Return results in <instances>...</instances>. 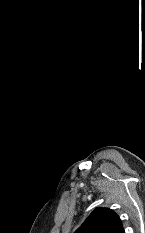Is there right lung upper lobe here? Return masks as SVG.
Masks as SVG:
<instances>
[{"instance_id": "obj_1", "label": "right lung upper lobe", "mask_w": 145, "mask_h": 233, "mask_svg": "<svg viewBox=\"0 0 145 233\" xmlns=\"http://www.w3.org/2000/svg\"><path fill=\"white\" fill-rule=\"evenodd\" d=\"M75 233H125L119 216L111 209L96 208Z\"/></svg>"}]
</instances>
